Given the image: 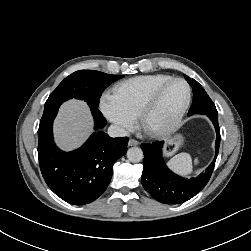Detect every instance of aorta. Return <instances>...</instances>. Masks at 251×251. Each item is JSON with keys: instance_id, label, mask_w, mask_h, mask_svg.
Here are the masks:
<instances>
[{"instance_id": "aorta-1", "label": "aorta", "mask_w": 251, "mask_h": 251, "mask_svg": "<svg viewBox=\"0 0 251 251\" xmlns=\"http://www.w3.org/2000/svg\"><path fill=\"white\" fill-rule=\"evenodd\" d=\"M127 158L133 163H138L143 159V151L139 147H131L127 151Z\"/></svg>"}]
</instances>
